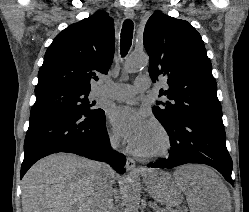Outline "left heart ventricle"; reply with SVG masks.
Returning <instances> with one entry per match:
<instances>
[{
  "mask_svg": "<svg viewBox=\"0 0 249 212\" xmlns=\"http://www.w3.org/2000/svg\"><path fill=\"white\" fill-rule=\"evenodd\" d=\"M162 138L159 131L152 125L148 124L147 130L144 134L140 152L152 153L157 151L162 146Z\"/></svg>",
  "mask_w": 249,
  "mask_h": 212,
  "instance_id": "1",
  "label": "left heart ventricle"
}]
</instances>
